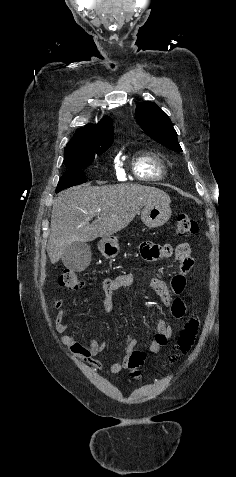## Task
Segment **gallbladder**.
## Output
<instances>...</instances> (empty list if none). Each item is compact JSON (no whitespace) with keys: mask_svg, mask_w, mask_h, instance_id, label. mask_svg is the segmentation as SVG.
<instances>
[{"mask_svg":"<svg viewBox=\"0 0 236 477\" xmlns=\"http://www.w3.org/2000/svg\"><path fill=\"white\" fill-rule=\"evenodd\" d=\"M91 249L86 242H73L62 255V262L71 271L85 270L91 261Z\"/></svg>","mask_w":236,"mask_h":477,"instance_id":"gallbladder-1","label":"gallbladder"}]
</instances>
